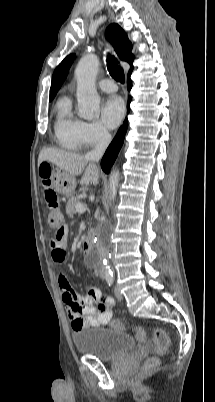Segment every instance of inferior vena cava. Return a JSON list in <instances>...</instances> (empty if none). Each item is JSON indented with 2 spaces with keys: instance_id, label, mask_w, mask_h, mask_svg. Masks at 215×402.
Masks as SVG:
<instances>
[{
  "instance_id": "inferior-vena-cava-1",
  "label": "inferior vena cava",
  "mask_w": 215,
  "mask_h": 402,
  "mask_svg": "<svg viewBox=\"0 0 215 402\" xmlns=\"http://www.w3.org/2000/svg\"><path fill=\"white\" fill-rule=\"evenodd\" d=\"M110 141H111V134L107 130L102 129L99 132L95 148L92 151L88 152L85 158L91 161V163L93 164L97 163L104 154Z\"/></svg>"
}]
</instances>
